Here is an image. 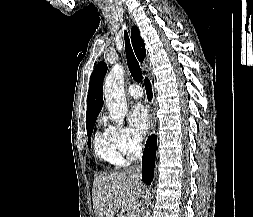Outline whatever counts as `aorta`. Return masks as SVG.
<instances>
[{"instance_id":"1","label":"aorta","mask_w":253,"mask_h":217,"mask_svg":"<svg viewBox=\"0 0 253 217\" xmlns=\"http://www.w3.org/2000/svg\"><path fill=\"white\" fill-rule=\"evenodd\" d=\"M104 96L110 118L119 125L123 124L128 111L124 91V69L121 65H115L107 75L104 82Z\"/></svg>"}]
</instances>
